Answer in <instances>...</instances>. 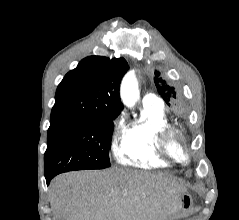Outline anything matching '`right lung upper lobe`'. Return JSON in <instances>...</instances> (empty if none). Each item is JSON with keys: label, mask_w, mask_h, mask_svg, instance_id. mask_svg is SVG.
I'll use <instances>...</instances> for the list:
<instances>
[{"label": "right lung upper lobe", "mask_w": 239, "mask_h": 220, "mask_svg": "<svg viewBox=\"0 0 239 220\" xmlns=\"http://www.w3.org/2000/svg\"><path fill=\"white\" fill-rule=\"evenodd\" d=\"M127 71L123 58H84L58 85L51 118L118 116L123 109L119 87Z\"/></svg>", "instance_id": "cb5924a9"}]
</instances>
